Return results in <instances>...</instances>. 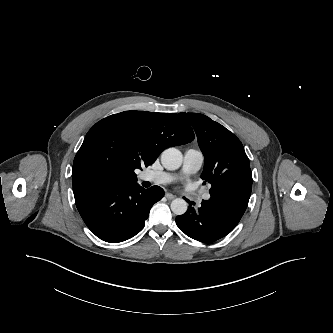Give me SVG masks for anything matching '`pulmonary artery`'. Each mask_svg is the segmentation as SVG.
Here are the masks:
<instances>
[{
	"label": "pulmonary artery",
	"instance_id": "1",
	"mask_svg": "<svg viewBox=\"0 0 333 333\" xmlns=\"http://www.w3.org/2000/svg\"><path fill=\"white\" fill-rule=\"evenodd\" d=\"M204 156L201 151L197 149H188L184 153L183 165L181 168V175H192L200 170L203 165ZM178 175L163 171L147 170L142 172L138 178L142 181L152 182L154 184H168L177 179ZM202 198L208 200L210 194L203 193Z\"/></svg>",
	"mask_w": 333,
	"mask_h": 333
}]
</instances>
